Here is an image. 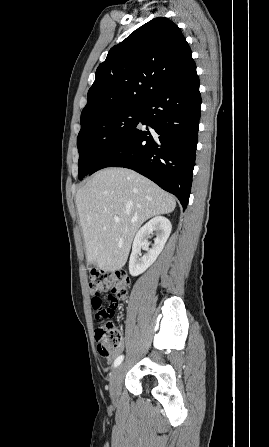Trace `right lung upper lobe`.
<instances>
[{
  "mask_svg": "<svg viewBox=\"0 0 269 447\" xmlns=\"http://www.w3.org/2000/svg\"><path fill=\"white\" fill-rule=\"evenodd\" d=\"M193 62L175 23L164 17L149 21L111 48L98 66L81 124L117 108L143 104Z\"/></svg>",
  "mask_w": 269,
  "mask_h": 447,
  "instance_id": "1",
  "label": "right lung upper lobe"
}]
</instances>
